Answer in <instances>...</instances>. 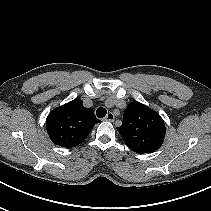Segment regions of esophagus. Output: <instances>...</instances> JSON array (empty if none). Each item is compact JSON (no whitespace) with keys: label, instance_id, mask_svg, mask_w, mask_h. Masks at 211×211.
I'll use <instances>...</instances> for the list:
<instances>
[{"label":"esophagus","instance_id":"obj_1","mask_svg":"<svg viewBox=\"0 0 211 211\" xmlns=\"http://www.w3.org/2000/svg\"><path fill=\"white\" fill-rule=\"evenodd\" d=\"M114 119H115V116L112 112H109L105 117V120L110 121V122L114 121Z\"/></svg>","mask_w":211,"mask_h":211}]
</instances>
